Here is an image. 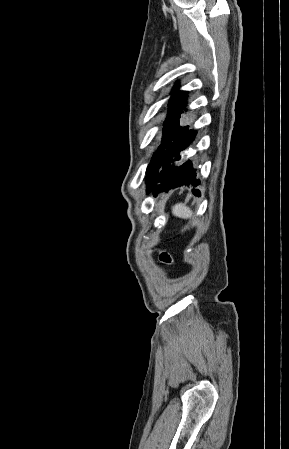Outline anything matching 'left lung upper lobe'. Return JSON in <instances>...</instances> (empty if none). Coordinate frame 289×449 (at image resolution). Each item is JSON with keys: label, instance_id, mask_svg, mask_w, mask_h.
Here are the masks:
<instances>
[{"label": "left lung upper lobe", "instance_id": "left-lung-upper-lobe-1", "mask_svg": "<svg viewBox=\"0 0 289 449\" xmlns=\"http://www.w3.org/2000/svg\"><path fill=\"white\" fill-rule=\"evenodd\" d=\"M177 84L175 88L177 89ZM187 92L179 91L172 93L169 100V111L164 122L163 141L165 144L158 148L154 153L152 160L146 170L147 180L159 173L164 159L166 145L175 137V135L183 128L180 126V114L186 106Z\"/></svg>", "mask_w": 289, "mask_h": 449}]
</instances>
